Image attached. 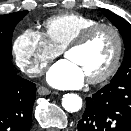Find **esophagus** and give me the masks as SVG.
I'll return each mask as SVG.
<instances>
[{
	"mask_svg": "<svg viewBox=\"0 0 131 131\" xmlns=\"http://www.w3.org/2000/svg\"><path fill=\"white\" fill-rule=\"evenodd\" d=\"M37 92H38L39 95H42V96L48 95V94L51 93V91L48 88L44 87V86L38 87Z\"/></svg>",
	"mask_w": 131,
	"mask_h": 131,
	"instance_id": "1",
	"label": "esophagus"
}]
</instances>
